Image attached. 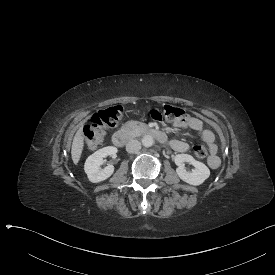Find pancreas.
<instances>
[{
  "label": "pancreas",
  "instance_id": "cf45deb5",
  "mask_svg": "<svg viewBox=\"0 0 275 275\" xmlns=\"http://www.w3.org/2000/svg\"><path fill=\"white\" fill-rule=\"evenodd\" d=\"M148 129V125L139 121H128L126 122L119 131L126 133L131 138L138 136Z\"/></svg>",
  "mask_w": 275,
  "mask_h": 275
}]
</instances>
